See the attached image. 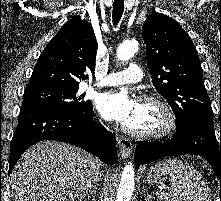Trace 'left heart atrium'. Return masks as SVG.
<instances>
[{
	"mask_svg": "<svg viewBox=\"0 0 221 201\" xmlns=\"http://www.w3.org/2000/svg\"><path fill=\"white\" fill-rule=\"evenodd\" d=\"M96 106L105 119L126 125L133 118L137 109V103L124 91H109L101 94Z\"/></svg>",
	"mask_w": 221,
	"mask_h": 201,
	"instance_id": "left-heart-atrium-1",
	"label": "left heart atrium"
}]
</instances>
